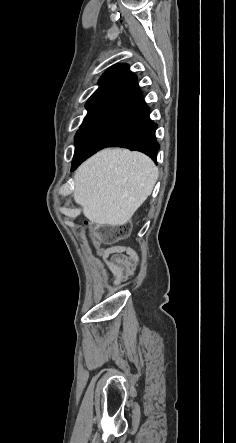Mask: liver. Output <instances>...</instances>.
Wrapping results in <instances>:
<instances>
[{"label": "liver", "mask_w": 236, "mask_h": 443, "mask_svg": "<svg viewBox=\"0 0 236 443\" xmlns=\"http://www.w3.org/2000/svg\"><path fill=\"white\" fill-rule=\"evenodd\" d=\"M158 178L154 162L140 152L104 149L74 175V200L100 225L122 226L151 194Z\"/></svg>", "instance_id": "6515ba94"}]
</instances>
